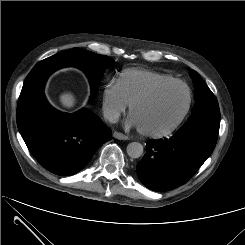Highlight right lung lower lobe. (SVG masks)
<instances>
[{"instance_id": "right-lung-lower-lobe-1", "label": "right lung lower lobe", "mask_w": 245, "mask_h": 245, "mask_svg": "<svg viewBox=\"0 0 245 245\" xmlns=\"http://www.w3.org/2000/svg\"><path fill=\"white\" fill-rule=\"evenodd\" d=\"M17 125L29 151L48 171L64 176L85 167L111 137V129L83 108L63 113L49 105L44 93L17 108Z\"/></svg>"}]
</instances>
